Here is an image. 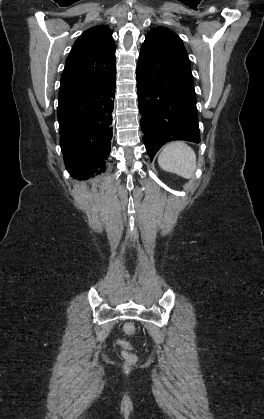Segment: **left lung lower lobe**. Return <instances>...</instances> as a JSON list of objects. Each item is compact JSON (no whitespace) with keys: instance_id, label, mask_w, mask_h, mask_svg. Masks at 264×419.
<instances>
[{"instance_id":"left-lung-lower-lobe-1","label":"left lung lower lobe","mask_w":264,"mask_h":419,"mask_svg":"<svg viewBox=\"0 0 264 419\" xmlns=\"http://www.w3.org/2000/svg\"><path fill=\"white\" fill-rule=\"evenodd\" d=\"M141 130L152 160L167 142H200L191 68L168 36H148L137 64Z\"/></svg>"}]
</instances>
